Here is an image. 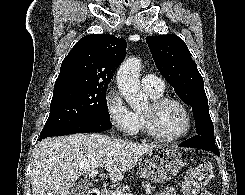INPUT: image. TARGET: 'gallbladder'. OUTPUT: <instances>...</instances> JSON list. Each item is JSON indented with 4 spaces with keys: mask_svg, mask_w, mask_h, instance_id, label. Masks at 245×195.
<instances>
[{
    "mask_svg": "<svg viewBox=\"0 0 245 195\" xmlns=\"http://www.w3.org/2000/svg\"><path fill=\"white\" fill-rule=\"evenodd\" d=\"M70 195H86L87 189L82 183H74L69 189Z\"/></svg>",
    "mask_w": 245,
    "mask_h": 195,
    "instance_id": "bac80fb5",
    "label": "gallbladder"
}]
</instances>
